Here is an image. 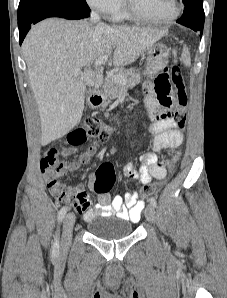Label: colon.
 <instances>
[{
  "instance_id": "5ec220e1",
  "label": "colon",
  "mask_w": 227,
  "mask_h": 298,
  "mask_svg": "<svg viewBox=\"0 0 227 298\" xmlns=\"http://www.w3.org/2000/svg\"><path fill=\"white\" fill-rule=\"evenodd\" d=\"M170 80L174 84L177 90V104L178 109L172 118L178 128H183L187 120L186 105L188 103V97L184 88L183 78L179 66L173 65L170 69ZM165 104V103H161ZM153 117H162L161 111L157 112V115ZM112 129L95 118L87 119L82 125L68 134L66 142L71 146H79L86 143L91 138H97L99 140L106 141L112 136ZM115 181L114 169L111 163H102L97 171L93 182V189L96 193H108ZM50 186L55 188L54 196L60 202H67L70 204H76L80 201V198L72 193L65 191L58 187L57 181H52ZM158 185L148 184L144 187L142 196H148L158 191Z\"/></svg>"
}]
</instances>
